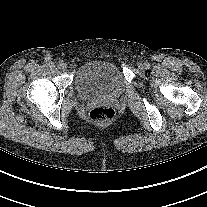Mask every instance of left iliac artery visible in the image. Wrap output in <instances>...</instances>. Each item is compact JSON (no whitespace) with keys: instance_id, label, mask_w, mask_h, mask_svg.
Returning a JSON list of instances; mask_svg holds the SVG:
<instances>
[{"instance_id":"1","label":"left iliac artery","mask_w":207,"mask_h":207,"mask_svg":"<svg viewBox=\"0 0 207 207\" xmlns=\"http://www.w3.org/2000/svg\"><path fill=\"white\" fill-rule=\"evenodd\" d=\"M145 65H146V68H147V69L150 68V64H149V63L146 62Z\"/></svg>"}]
</instances>
